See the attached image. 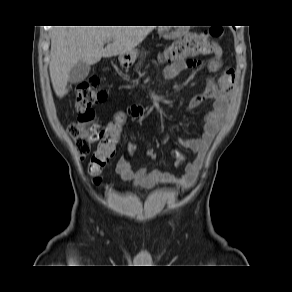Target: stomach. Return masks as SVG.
<instances>
[{
    "label": "stomach",
    "mask_w": 292,
    "mask_h": 292,
    "mask_svg": "<svg viewBox=\"0 0 292 292\" xmlns=\"http://www.w3.org/2000/svg\"><path fill=\"white\" fill-rule=\"evenodd\" d=\"M160 33L165 37V38H173V37H178V35L176 34V32H169L168 29L166 28H161L160 29ZM138 51L136 49H133L131 52L126 53V54H122L119 56V61L122 64H133L136 60Z\"/></svg>",
    "instance_id": "1"
}]
</instances>
